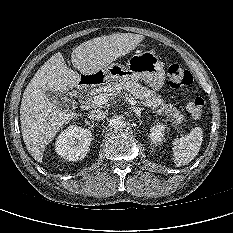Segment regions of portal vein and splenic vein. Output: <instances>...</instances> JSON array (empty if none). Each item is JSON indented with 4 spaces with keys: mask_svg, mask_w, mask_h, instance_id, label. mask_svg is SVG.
I'll use <instances>...</instances> for the list:
<instances>
[{
    "mask_svg": "<svg viewBox=\"0 0 233 233\" xmlns=\"http://www.w3.org/2000/svg\"><path fill=\"white\" fill-rule=\"evenodd\" d=\"M110 94L102 93L95 95L92 99L94 105H104L108 102ZM128 102L132 105H135L137 101L133 97H128Z\"/></svg>",
    "mask_w": 233,
    "mask_h": 233,
    "instance_id": "obj_1",
    "label": "portal vein and splenic vein"
}]
</instances>
